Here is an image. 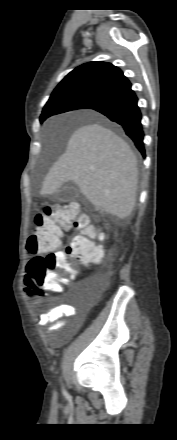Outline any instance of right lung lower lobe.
Listing matches in <instances>:
<instances>
[{
  "label": "right lung lower lobe",
  "instance_id": "obj_1",
  "mask_svg": "<svg viewBox=\"0 0 177 440\" xmlns=\"http://www.w3.org/2000/svg\"><path fill=\"white\" fill-rule=\"evenodd\" d=\"M138 98L131 85L91 102L86 109L95 110L113 122L118 123L145 157L143 143L144 132L141 124V112L137 105Z\"/></svg>",
  "mask_w": 177,
  "mask_h": 440
}]
</instances>
